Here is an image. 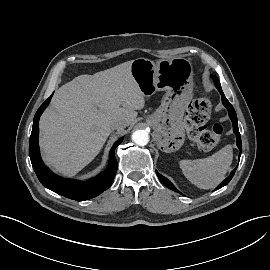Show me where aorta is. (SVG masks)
<instances>
[{"instance_id":"obj_1","label":"aorta","mask_w":270,"mask_h":270,"mask_svg":"<svg viewBox=\"0 0 270 270\" xmlns=\"http://www.w3.org/2000/svg\"><path fill=\"white\" fill-rule=\"evenodd\" d=\"M132 140L139 146H144L149 142V134L146 130H136L132 134Z\"/></svg>"}]
</instances>
